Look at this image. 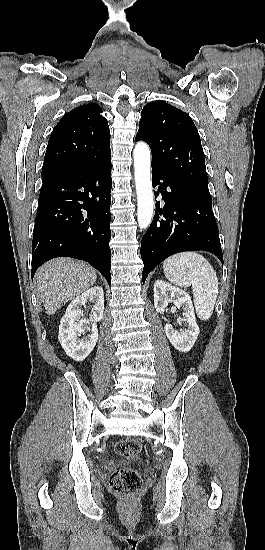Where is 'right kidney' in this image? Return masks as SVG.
<instances>
[{"instance_id":"right-kidney-1","label":"right kidney","mask_w":265,"mask_h":550,"mask_svg":"<svg viewBox=\"0 0 265 550\" xmlns=\"http://www.w3.org/2000/svg\"><path fill=\"white\" fill-rule=\"evenodd\" d=\"M92 303L90 319L82 318V307ZM104 311L103 288L95 286L76 297L67 307L66 313L59 325L58 339L66 354L75 361H83L94 349L98 340L97 323L102 320ZM89 334L81 338L88 329Z\"/></svg>"}]
</instances>
